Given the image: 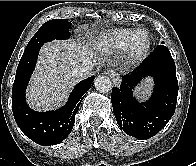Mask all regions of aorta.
I'll return each instance as SVG.
<instances>
[{
    "label": "aorta",
    "instance_id": "aorta-1",
    "mask_svg": "<svg viewBox=\"0 0 196 166\" xmlns=\"http://www.w3.org/2000/svg\"><path fill=\"white\" fill-rule=\"evenodd\" d=\"M94 85L96 90L101 93L109 92L112 89V82L107 76H98L94 80Z\"/></svg>",
    "mask_w": 196,
    "mask_h": 166
}]
</instances>
